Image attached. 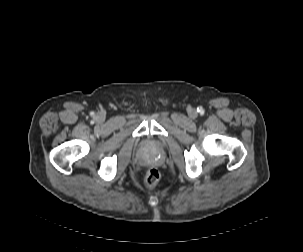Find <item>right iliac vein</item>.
Here are the masks:
<instances>
[{
	"label": "right iliac vein",
	"instance_id": "right-iliac-vein-1",
	"mask_svg": "<svg viewBox=\"0 0 303 252\" xmlns=\"http://www.w3.org/2000/svg\"><path fill=\"white\" fill-rule=\"evenodd\" d=\"M97 119H98L99 121H101V122L104 121V118H103L102 116H98Z\"/></svg>",
	"mask_w": 303,
	"mask_h": 252
}]
</instances>
